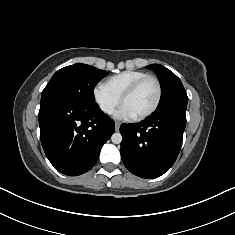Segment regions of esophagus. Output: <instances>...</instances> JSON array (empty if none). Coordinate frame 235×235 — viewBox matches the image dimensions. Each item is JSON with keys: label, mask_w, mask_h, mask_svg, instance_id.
I'll return each mask as SVG.
<instances>
[{"label": "esophagus", "mask_w": 235, "mask_h": 235, "mask_svg": "<svg viewBox=\"0 0 235 235\" xmlns=\"http://www.w3.org/2000/svg\"><path fill=\"white\" fill-rule=\"evenodd\" d=\"M120 125H121L120 122H118V121L115 122V130L116 131H119Z\"/></svg>", "instance_id": "esophagus-1"}]
</instances>
